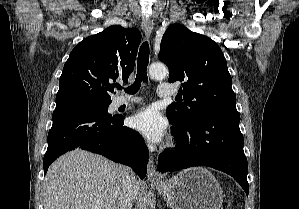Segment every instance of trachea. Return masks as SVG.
<instances>
[{"instance_id":"trachea-1","label":"trachea","mask_w":299,"mask_h":209,"mask_svg":"<svg viewBox=\"0 0 299 209\" xmlns=\"http://www.w3.org/2000/svg\"><path fill=\"white\" fill-rule=\"evenodd\" d=\"M149 63V45L148 42H144L139 50L138 60H137V74L135 82L125 89V92L128 94H135L140 89L142 82H147V66ZM118 89H122L121 86L117 87Z\"/></svg>"}]
</instances>
